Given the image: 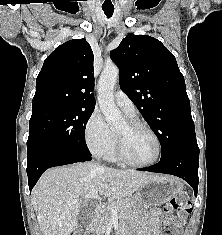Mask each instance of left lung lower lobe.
<instances>
[{
    "instance_id": "left-lung-lower-lobe-1",
    "label": "left lung lower lobe",
    "mask_w": 222,
    "mask_h": 235,
    "mask_svg": "<svg viewBox=\"0 0 222 235\" xmlns=\"http://www.w3.org/2000/svg\"><path fill=\"white\" fill-rule=\"evenodd\" d=\"M199 152H178L160 159L154 166L141 168V171H150L178 176L189 183L197 196L198 191Z\"/></svg>"
}]
</instances>
